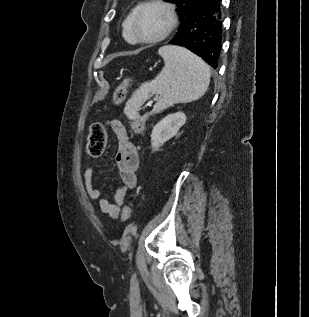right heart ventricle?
<instances>
[{
    "label": "right heart ventricle",
    "instance_id": "right-heart-ventricle-1",
    "mask_svg": "<svg viewBox=\"0 0 309 317\" xmlns=\"http://www.w3.org/2000/svg\"><path fill=\"white\" fill-rule=\"evenodd\" d=\"M135 11L136 9H133L123 22V36L130 43H134L136 41L132 32V18Z\"/></svg>",
    "mask_w": 309,
    "mask_h": 317
}]
</instances>
